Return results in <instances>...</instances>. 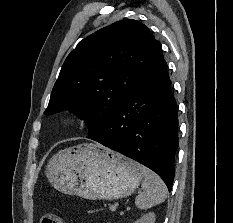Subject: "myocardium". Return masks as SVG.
Returning <instances> with one entry per match:
<instances>
[{
	"mask_svg": "<svg viewBox=\"0 0 233 223\" xmlns=\"http://www.w3.org/2000/svg\"><path fill=\"white\" fill-rule=\"evenodd\" d=\"M84 122V116L76 111L67 113L63 118V126L71 129L80 126Z\"/></svg>",
	"mask_w": 233,
	"mask_h": 223,
	"instance_id": "1",
	"label": "myocardium"
}]
</instances>
